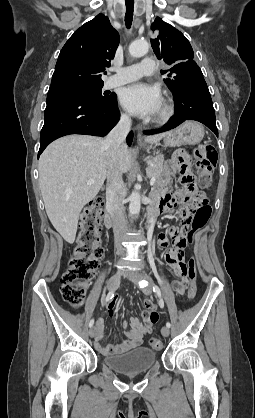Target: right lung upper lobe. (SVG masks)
Wrapping results in <instances>:
<instances>
[{"mask_svg":"<svg viewBox=\"0 0 255 418\" xmlns=\"http://www.w3.org/2000/svg\"><path fill=\"white\" fill-rule=\"evenodd\" d=\"M119 34L109 19L98 14L77 29L60 51L51 85L100 83L119 44Z\"/></svg>","mask_w":255,"mask_h":418,"instance_id":"right-lung-upper-lobe-1","label":"right lung upper lobe"}]
</instances>
